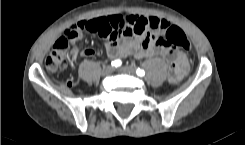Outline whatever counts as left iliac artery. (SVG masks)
Masks as SVG:
<instances>
[{
	"label": "left iliac artery",
	"mask_w": 245,
	"mask_h": 145,
	"mask_svg": "<svg viewBox=\"0 0 245 145\" xmlns=\"http://www.w3.org/2000/svg\"><path fill=\"white\" fill-rule=\"evenodd\" d=\"M136 74H137L138 76H140V77H143V76L145 75V71L142 70V69H140V68H138V69L136 70Z\"/></svg>",
	"instance_id": "obj_1"
}]
</instances>
